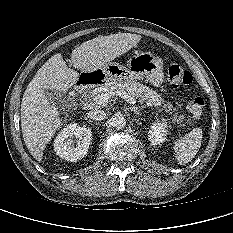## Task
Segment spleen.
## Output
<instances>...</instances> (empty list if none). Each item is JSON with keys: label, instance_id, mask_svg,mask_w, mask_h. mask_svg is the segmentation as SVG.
Segmentation results:
<instances>
[{"label": "spleen", "instance_id": "1", "mask_svg": "<svg viewBox=\"0 0 233 233\" xmlns=\"http://www.w3.org/2000/svg\"><path fill=\"white\" fill-rule=\"evenodd\" d=\"M202 141V129L194 128L190 133L174 142L175 157L180 165L189 163L197 154Z\"/></svg>", "mask_w": 233, "mask_h": 233}]
</instances>
